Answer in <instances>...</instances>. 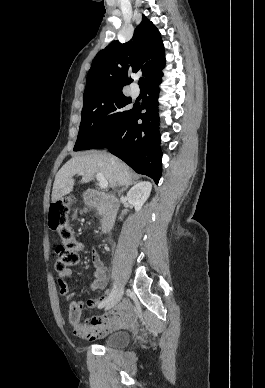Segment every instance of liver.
Masks as SVG:
<instances>
[{
    "mask_svg": "<svg viewBox=\"0 0 265 388\" xmlns=\"http://www.w3.org/2000/svg\"><path fill=\"white\" fill-rule=\"evenodd\" d=\"M80 172H84L81 184L94 180L95 174H103L105 180L109 182L110 188L132 184L129 166L111 154L91 152L88 156H73L55 176L52 202H57L72 192L75 184L73 176L80 174Z\"/></svg>",
    "mask_w": 265,
    "mask_h": 388,
    "instance_id": "liver-1",
    "label": "liver"
}]
</instances>
